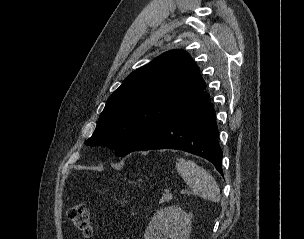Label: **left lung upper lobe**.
<instances>
[{
	"mask_svg": "<svg viewBox=\"0 0 304 239\" xmlns=\"http://www.w3.org/2000/svg\"><path fill=\"white\" fill-rule=\"evenodd\" d=\"M205 89L199 67L183 50L163 53L132 72L109 97L86 145L125 156L139 147Z\"/></svg>",
	"mask_w": 304,
	"mask_h": 239,
	"instance_id": "5c2ea615",
	"label": "left lung upper lobe"
}]
</instances>
